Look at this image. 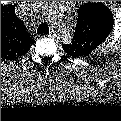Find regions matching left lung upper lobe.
Returning a JSON list of instances; mask_svg holds the SVG:
<instances>
[{
    "label": "left lung upper lobe",
    "mask_w": 121,
    "mask_h": 121,
    "mask_svg": "<svg viewBox=\"0 0 121 121\" xmlns=\"http://www.w3.org/2000/svg\"><path fill=\"white\" fill-rule=\"evenodd\" d=\"M113 21L112 12L102 3L81 5L72 43L63 45V49L73 57L87 55L106 40Z\"/></svg>",
    "instance_id": "obj_1"
}]
</instances>
